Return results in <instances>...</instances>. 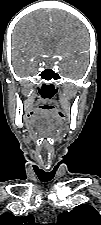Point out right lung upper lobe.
I'll list each match as a JSON object with an SVG mask.
<instances>
[{
    "instance_id": "obj_1",
    "label": "right lung upper lobe",
    "mask_w": 101,
    "mask_h": 225,
    "mask_svg": "<svg viewBox=\"0 0 101 225\" xmlns=\"http://www.w3.org/2000/svg\"><path fill=\"white\" fill-rule=\"evenodd\" d=\"M0 225H36L34 217L28 215L25 217H16L12 213H4L0 216Z\"/></svg>"
}]
</instances>
